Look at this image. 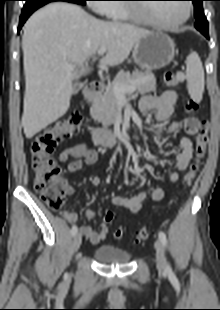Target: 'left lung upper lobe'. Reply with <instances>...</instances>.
<instances>
[{
    "instance_id": "obj_1",
    "label": "left lung upper lobe",
    "mask_w": 220,
    "mask_h": 310,
    "mask_svg": "<svg viewBox=\"0 0 220 310\" xmlns=\"http://www.w3.org/2000/svg\"><path fill=\"white\" fill-rule=\"evenodd\" d=\"M194 3V15L196 18L195 27L202 34L208 33V22L203 12L202 1L204 0H191Z\"/></svg>"
}]
</instances>
